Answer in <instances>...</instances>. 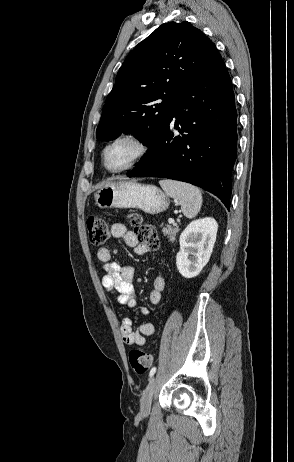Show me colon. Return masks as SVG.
<instances>
[{"label": "colon", "mask_w": 294, "mask_h": 462, "mask_svg": "<svg viewBox=\"0 0 294 462\" xmlns=\"http://www.w3.org/2000/svg\"><path fill=\"white\" fill-rule=\"evenodd\" d=\"M133 233L138 242L153 252L159 248V238L155 227L144 221L139 214L130 216ZM89 240L93 245H103L109 237V225L100 217H90L87 220ZM129 362L137 374L146 373L152 365V355L146 351L135 348L129 352Z\"/></svg>", "instance_id": "5ec220e1"}]
</instances>
